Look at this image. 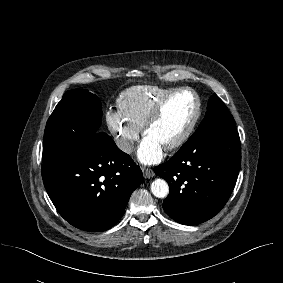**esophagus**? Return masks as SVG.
<instances>
[{
    "mask_svg": "<svg viewBox=\"0 0 283 283\" xmlns=\"http://www.w3.org/2000/svg\"><path fill=\"white\" fill-rule=\"evenodd\" d=\"M142 171L145 178H151L154 176V172L150 168H142Z\"/></svg>",
    "mask_w": 283,
    "mask_h": 283,
    "instance_id": "1",
    "label": "esophagus"
}]
</instances>
